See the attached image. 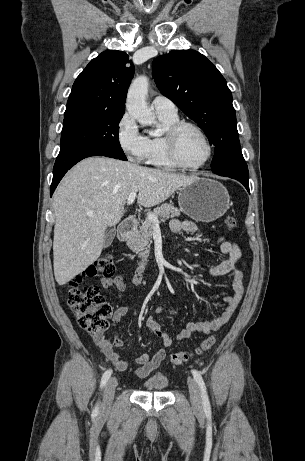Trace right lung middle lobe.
Listing matches in <instances>:
<instances>
[{
  "label": "right lung middle lobe",
  "mask_w": 305,
  "mask_h": 461,
  "mask_svg": "<svg viewBox=\"0 0 305 461\" xmlns=\"http://www.w3.org/2000/svg\"><path fill=\"white\" fill-rule=\"evenodd\" d=\"M123 114L87 107L66 109L57 158L64 159L87 151H103L116 159L127 160L118 137V124Z\"/></svg>",
  "instance_id": "dd1d6c3e"
}]
</instances>
